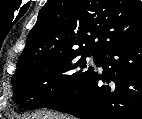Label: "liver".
<instances>
[{
    "label": "liver",
    "instance_id": "liver-1",
    "mask_svg": "<svg viewBox=\"0 0 142 119\" xmlns=\"http://www.w3.org/2000/svg\"><path fill=\"white\" fill-rule=\"evenodd\" d=\"M22 119H72L69 116L59 114L35 113Z\"/></svg>",
    "mask_w": 142,
    "mask_h": 119
}]
</instances>
